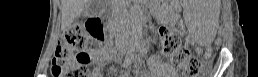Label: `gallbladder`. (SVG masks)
Instances as JSON below:
<instances>
[{
    "instance_id": "bac80fb5",
    "label": "gallbladder",
    "mask_w": 258,
    "mask_h": 77,
    "mask_svg": "<svg viewBox=\"0 0 258 77\" xmlns=\"http://www.w3.org/2000/svg\"><path fill=\"white\" fill-rule=\"evenodd\" d=\"M96 3L95 1H92L91 3L88 4V8L86 9V14L91 15V14H96L99 12V10L95 7Z\"/></svg>"
}]
</instances>
